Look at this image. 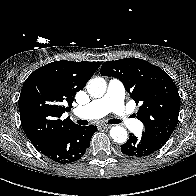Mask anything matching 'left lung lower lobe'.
<instances>
[{
	"mask_svg": "<svg viewBox=\"0 0 196 196\" xmlns=\"http://www.w3.org/2000/svg\"><path fill=\"white\" fill-rule=\"evenodd\" d=\"M162 146L157 140L144 133L140 137L130 134L129 140L121 145V151L127 156L144 157L158 151Z\"/></svg>",
	"mask_w": 196,
	"mask_h": 196,
	"instance_id": "1",
	"label": "left lung lower lobe"
}]
</instances>
